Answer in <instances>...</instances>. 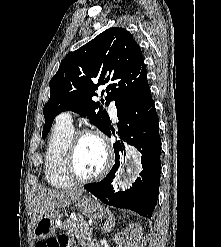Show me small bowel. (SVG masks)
<instances>
[{
    "label": "small bowel",
    "mask_w": 221,
    "mask_h": 247,
    "mask_svg": "<svg viewBox=\"0 0 221 247\" xmlns=\"http://www.w3.org/2000/svg\"><path fill=\"white\" fill-rule=\"evenodd\" d=\"M44 242H45V240H40V241H38L37 244H36V247H38V244H39V243H44ZM65 247H75V246H73V245L67 243Z\"/></svg>",
    "instance_id": "c3829d8e"
}]
</instances>
